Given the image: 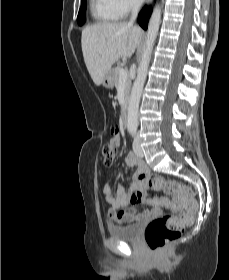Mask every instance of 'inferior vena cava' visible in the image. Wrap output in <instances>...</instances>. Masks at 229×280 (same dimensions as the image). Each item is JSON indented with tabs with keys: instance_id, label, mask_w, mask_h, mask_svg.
Here are the masks:
<instances>
[{
	"instance_id": "1",
	"label": "inferior vena cava",
	"mask_w": 229,
	"mask_h": 280,
	"mask_svg": "<svg viewBox=\"0 0 229 280\" xmlns=\"http://www.w3.org/2000/svg\"><path fill=\"white\" fill-rule=\"evenodd\" d=\"M139 8H140L139 0H134L133 3H132V16H131V19L129 21V24H133L134 23V21H135V19L137 17Z\"/></svg>"
}]
</instances>
